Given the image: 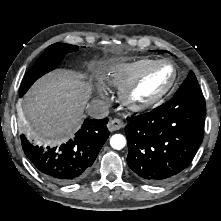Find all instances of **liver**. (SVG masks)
I'll use <instances>...</instances> for the list:
<instances>
[{
    "label": "liver",
    "instance_id": "6515ba94",
    "mask_svg": "<svg viewBox=\"0 0 221 221\" xmlns=\"http://www.w3.org/2000/svg\"><path fill=\"white\" fill-rule=\"evenodd\" d=\"M92 90L91 83L75 71L59 69L45 75L32 86L18 108L22 127L42 141L73 136L81 125Z\"/></svg>",
    "mask_w": 221,
    "mask_h": 221
}]
</instances>
